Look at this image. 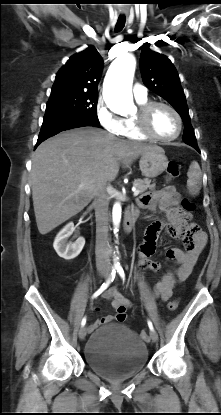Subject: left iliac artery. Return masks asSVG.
<instances>
[{
    "label": "left iliac artery",
    "mask_w": 221,
    "mask_h": 415,
    "mask_svg": "<svg viewBox=\"0 0 221 415\" xmlns=\"http://www.w3.org/2000/svg\"><path fill=\"white\" fill-rule=\"evenodd\" d=\"M116 269H117V272L119 273L120 277L123 280H125V273H124L123 268L121 266H117ZM148 326H149L150 330H154L153 324L150 320H148Z\"/></svg>",
    "instance_id": "1"
}]
</instances>
